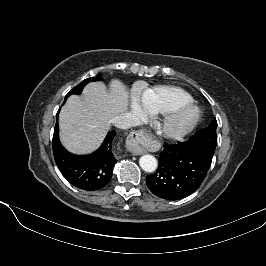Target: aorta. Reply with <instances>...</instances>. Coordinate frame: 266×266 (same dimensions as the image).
Instances as JSON below:
<instances>
[{
    "mask_svg": "<svg viewBox=\"0 0 266 266\" xmlns=\"http://www.w3.org/2000/svg\"><path fill=\"white\" fill-rule=\"evenodd\" d=\"M139 164L145 172H154L158 166L156 158L152 155L141 156L139 159Z\"/></svg>",
    "mask_w": 266,
    "mask_h": 266,
    "instance_id": "obj_1",
    "label": "aorta"
}]
</instances>
